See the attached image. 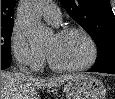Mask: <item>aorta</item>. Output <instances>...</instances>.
I'll return each mask as SVG.
<instances>
[{"label": "aorta", "mask_w": 115, "mask_h": 99, "mask_svg": "<svg viewBox=\"0 0 115 99\" xmlns=\"http://www.w3.org/2000/svg\"><path fill=\"white\" fill-rule=\"evenodd\" d=\"M46 0H27L18 9V22L31 46H42L48 38V30L40 23V16Z\"/></svg>", "instance_id": "aorta-1"}]
</instances>
